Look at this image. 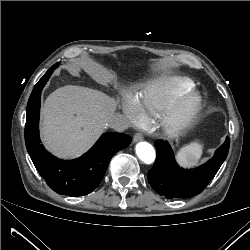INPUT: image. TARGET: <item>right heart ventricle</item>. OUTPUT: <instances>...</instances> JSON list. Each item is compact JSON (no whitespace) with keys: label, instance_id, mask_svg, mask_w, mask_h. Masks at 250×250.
<instances>
[{"label":"right heart ventricle","instance_id":"1","mask_svg":"<svg viewBox=\"0 0 250 250\" xmlns=\"http://www.w3.org/2000/svg\"><path fill=\"white\" fill-rule=\"evenodd\" d=\"M194 85L182 76H167L148 82L137 96L144 121H150L166 112L177 98Z\"/></svg>","mask_w":250,"mask_h":250}]
</instances>
